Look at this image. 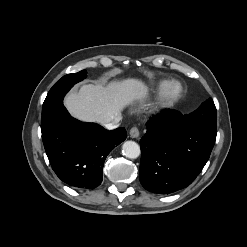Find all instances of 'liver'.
I'll return each instance as SVG.
<instances>
[{"label":"liver","instance_id":"obj_1","mask_svg":"<svg viewBox=\"0 0 247 247\" xmlns=\"http://www.w3.org/2000/svg\"><path fill=\"white\" fill-rule=\"evenodd\" d=\"M148 87L138 79L120 82L84 84L79 91L69 93L64 105L75 118L85 122L107 124L121 115L124 107L145 98Z\"/></svg>","mask_w":247,"mask_h":247}]
</instances>
